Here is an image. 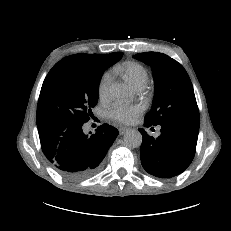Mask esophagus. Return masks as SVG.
I'll return each mask as SVG.
<instances>
[{
    "label": "esophagus",
    "instance_id": "esophagus-1",
    "mask_svg": "<svg viewBox=\"0 0 231 231\" xmlns=\"http://www.w3.org/2000/svg\"><path fill=\"white\" fill-rule=\"evenodd\" d=\"M127 131H128V128H126V127L119 128V134L120 135H124Z\"/></svg>",
    "mask_w": 231,
    "mask_h": 231
}]
</instances>
